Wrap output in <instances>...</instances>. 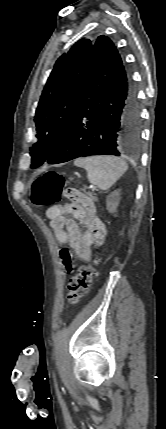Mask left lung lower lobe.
Instances as JSON below:
<instances>
[{
	"instance_id": "0a47b994",
	"label": "left lung lower lobe",
	"mask_w": 166,
	"mask_h": 429,
	"mask_svg": "<svg viewBox=\"0 0 166 429\" xmlns=\"http://www.w3.org/2000/svg\"><path fill=\"white\" fill-rule=\"evenodd\" d=\"M141 132L137 91L113 42L95 41L89 77L57 148L46 163L133 153Z\"/></svg>"
}]
</instances>
